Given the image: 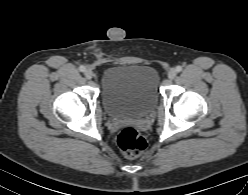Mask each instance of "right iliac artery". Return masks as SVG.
<instances>
[{"instance_id": "right-iliac-artery-1", "label": "right iliac artery", "mask_w": 248, "mask_h": 195, "mask_svg": "<svg viewBox=\"0 0 248 195\" xmlns=\"http://www.w3.org/2000/svg\"><path fill=\"white\" fill-rule=\"evenodd\" d=\"M79 70H80L81 72H84V71L86 70V68H85V66L82 65V66L79 67Z\"/></svg>"}]
</instances>
